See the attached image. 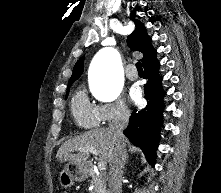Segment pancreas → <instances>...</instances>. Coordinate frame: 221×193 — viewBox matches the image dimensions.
<instances>
[{
	"label": "pancreas",
	"mask_w": 221,
	"mask_h": 193,
	"mask_svg": "<svg viewBox=\"0 0 221 193\" xmlns=\"http://www.w3.org/2000/svg\"><path fill=\"white\" fill-rule=\"evenodd\" d=\"M91 185L93 186V190L91 193H107L106 192V183L104 178L100 175L92 174Z\"/></svg>",
	"instance_id": "cf45deb5"
}]
</instances>
